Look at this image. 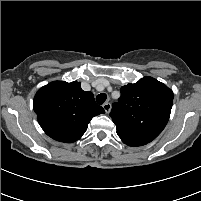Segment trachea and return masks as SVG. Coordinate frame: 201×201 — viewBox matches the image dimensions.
I'll list each match as a JSON object with an SVG mask.
<instances>
[{
	"label": "trachea",
	"instance_id": "1",
	"mask_svg": "<svg viewBox=\"0 0 201 201\" xmlns=\"http://www.w3.org/2000/svg\"><path fill=\"white\" fill-rule=\"evenodd\" d=\"M107 99V95L104 93L98 94L96 97V101L99 105H102Z\"/></svg>",
	"mask_w": 201,
	"mask_h": 201
}]
</instances>
